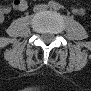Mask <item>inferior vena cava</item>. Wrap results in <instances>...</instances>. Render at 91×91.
Returning <instances> with one entry per match:
<instances>
[{"label": "inferior vena cava", "mask_w": 91, "mask_h": 91, "mask_svg": "<svg viewBox=\"0 0 91 91\" xmlns=\"http://www.w3.org/2000/svg\"><path fill=\"white\" fill-rule=\"evenodd\" d=\"M48 8V6L47 5H45V4H40V5H36V6H34V12H41V11H43V10H46Z\"/></svg>", "instance_id": "obj_1"}]
</instances>
